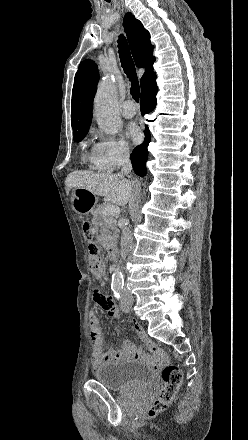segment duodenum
Here are the masks:
<instances>
[{"instance_id":"410a0bca","label":"duodenum","mask_w":248,"mask_h":440,"mask_svg":"<svg viewBox=\"0 0 248 440\" xmlns=\"http://www.w3.org/2000/svg\"><path fill=\"white\" fill-rule=\"evenodd\" d=\"M117 254V247L115 245H111L108 247V255L111 259L115 258Z\"/></svg>"}]
</instances>
